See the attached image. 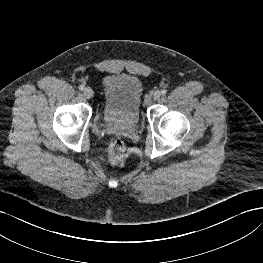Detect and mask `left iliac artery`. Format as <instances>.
Wrapping results in <instances>:
<instances>
[{"label":"left iliac artery","instance_id":"left-iliac-artery-1","mask_svg":"<svg viewBox=\"0 0 263 263\" xmlns=\"http://www.w3.org/2000/svg\"><path fill=\"white\" fill-rule=\"evenodd\" d=\"M167 93V90L163 89L161 90V95H165Z\"/></svg>","mask_w":263,"mask_h":263}]
</instances>
